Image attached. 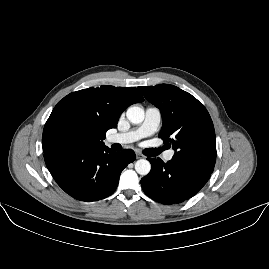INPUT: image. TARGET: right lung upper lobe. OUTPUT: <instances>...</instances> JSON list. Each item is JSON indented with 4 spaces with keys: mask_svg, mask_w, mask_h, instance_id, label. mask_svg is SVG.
Returning a JSON list of instances; mask_svg holds the SVG:
<instances>
[{
    "mask_svg": "<svg viewBox=\"0 0 269 269\" xmlns=\"http://www.w3.org/2000/svg\"><path fill=\"white\" fill-rule=\"evenodd\" d=\"M142 101L134 87L103 85L70 93L58 102L44 126L43 151L84 141L104 144L107 130L117 127L121 113Z\"/></svg>",
    "mask_w": 269,
    "mask_h": 269,
    "instance_id": "1",
    "label": "right lung upper lobe"
}]
</instances>
